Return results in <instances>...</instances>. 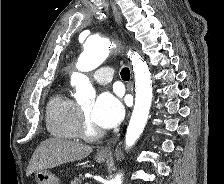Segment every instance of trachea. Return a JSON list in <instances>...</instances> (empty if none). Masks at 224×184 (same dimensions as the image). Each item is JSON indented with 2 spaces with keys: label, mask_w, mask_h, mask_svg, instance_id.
Returning a JSON list of instances; mask_svg holds the SVG:
<instances>
[{
  "label": "trachea",
  "mask_w": 224,
  "mask_h": 184,
  "mask_svg": "<svg viewBox=\"0 0 224 184\" xmlns=\"http://www.w3.org/2000/svg\"><path fill=\"white\" fill-rule=\"evenodd\" d=\"M120 75H121V77H122L123 80H129L130 79V70H129V68L124 67L121 70Z\"/></svg>",
  "instance_id": "obj_1"
}]
</instances>
